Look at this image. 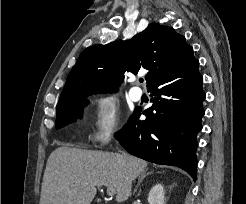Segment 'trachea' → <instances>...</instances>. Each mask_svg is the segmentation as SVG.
<instances>
[{"label": "trachea", "instance_id": "obj_1", "mask_svg": "<svg viewBox=\"0 0 246 204\" xmlns=\"http://www.w3.org/2000/svg\"><path fill=\"white\" fill-rule=\"evenodd\" d=\"M139 81L142 83L143 82V79H140Z\"/></svg>", "mask_w": 246, "mask_h": 204}]
</instances>
